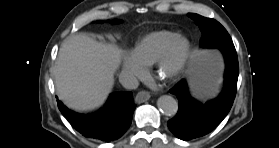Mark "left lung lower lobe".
<instances>
[{
  "label": "left lung lower lobe",
  "instance_id": "0a47b994",
  "mask_svg": "<svg viewBox=\"0 0 279 148\" xmlns=\"http://www.w3.org/2000/svg\"><path fill=\"white\" fill-rule=\"evenodd\" d=\"M219 49L224 55L226 69L224 88L216 99L205 104L196 101L190 96L184 79L170 90L179 100V109L175 117L168 121V128L181 140L195 139L213 131L233 105L239 75L237 53L233 44Z\"/></svg>",
  "mask_w": 279,
  "mask_h": 148
}]
</instances>
